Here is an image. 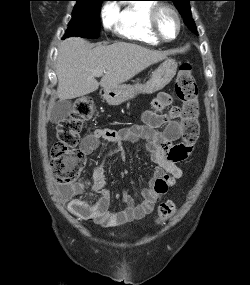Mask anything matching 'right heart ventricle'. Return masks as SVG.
<instances>
[{"instance_id":"1","label":"right heart ventricle","mask_w":250,"mask_h":285,"mask_svg":"<svg viewBox=\"0 0 250 285\" xmlns=\"http://www.w3.org/2000/svg\"><path fill=\"white\" fill-rule=\"evenodd\" d=\"M156 6L149 0H136L125 5L118 14L117 33L124 39L140 44L157 46L160 42L150 32L149 19Z\"/></svg>"}]
</instances>
